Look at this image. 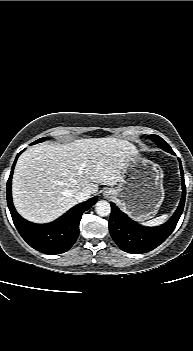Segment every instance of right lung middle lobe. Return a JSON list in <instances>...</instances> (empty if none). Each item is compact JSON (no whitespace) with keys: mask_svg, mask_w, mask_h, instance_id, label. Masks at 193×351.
Listing matches in <instances>:
<instances>
[{"mask_svg":"<svg viewBox=\"0 0 193 351\" xmlns=\"http://www.w3.org/2000/svg\"><path fill=\"white\" fill-rule=\"evenodd\" d=\"M47 138H40L38 139L37 141L33 142L32 144H36V143H39V142H43L44 140H46Z\"/></svg>","mask_w":193,"mask_h":351,"instance_id":"dd1d6c3e","label":"right lung middle lobe"}]
</instances>
